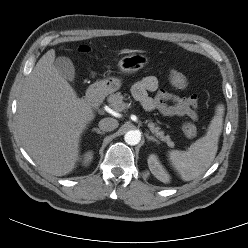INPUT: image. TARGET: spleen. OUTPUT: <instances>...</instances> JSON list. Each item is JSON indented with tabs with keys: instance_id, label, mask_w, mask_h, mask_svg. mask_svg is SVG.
Wrapping results in <instances>:
<instances>
[{
	"instance_id": "spleen-1",
	"label": "spleen",
	"mask_w": 248,
	"mask_h": 248,
	"mask_svg": "<svg viewBox=\"0 0 248 248\" xmlns=\"http://www.w3.org/2000/svg\"><path fill=\"white\" fill-rule=\"evenodd\" d=\"M224 110L223 104L217 106L206 134L191 144L187 151L171 150L168 152V159L182 180L191 181L198 178L211 165L218 150Z\"/></svg>"
}]
</instances>
